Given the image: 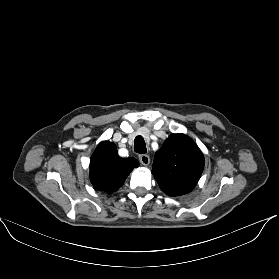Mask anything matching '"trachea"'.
I'll list each match as a JSON object with an SVG mask.
<instances>
[{"label":"trachea","instance_id":"3493384b","mask_svg":"<svg viewBox=\"0 0 279 279\" xmlns=\"http://www.w3.org/2000/svg\"><path fill=\"white\" fill-rule=\"evenodd\" d=\"M134 151L139 154L147 152L146 144L142 136H137L134 140Z\"/></svg>","mask_w":279,"mask_h":279}]
</instances>
